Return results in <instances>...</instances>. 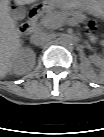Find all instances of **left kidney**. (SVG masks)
<instances>
[{
	"label": "left kidney",
	"mask_w": 104,
	"mask_h": 137,
	"mask_svg": "<svg viewBox=\"0 0 104 137\" xmlns=\"http://www.w3.org/2000/svg\"><path fill=\"white\" fill-rule=\"evenodd\" d=\"M90 60L97 66L102 67L104 65V59L100 57L99 55L91 56ZM88 65H89V61H84L81 63V68L84 69Z\"/></svg>",
	"instance_id": "obj_1"
}]
</instances>
